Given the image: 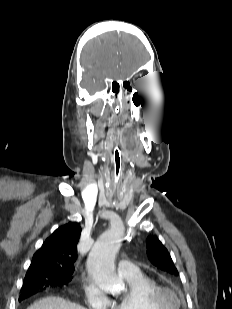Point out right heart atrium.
Wrapping results in <instances>:
<instances>
[{"instance_id": "right-heart-atrium-1", "label": "right heart atrium", "mask_w": 232, "mask_h": 309, "mask_svg": "<svg viewBox=\"0 0 232 309\" xmlns=\"http://www.w3.org/2000/svg\"><path fill=\"white\" fill-rule=\"evenodd\" d=\"M86 303L93 309H110L111 300L104 291L93 281L83 283Z\"/></svg>"}]
</instances>
